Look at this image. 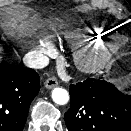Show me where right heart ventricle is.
I'll return each instance as SVG.
<instances>
[{"label": "right heart ventricle", "mask_w": 131, "mask_h": 131, "mask_svg": "<svg viewBox=\"0 0 131 131\" xmlns=\"http://www.w3.org/2000/svg\"><path fill=\"white\" fill-rule=\"evenodd\" d=\"M113 36L110 30L98 26L72 29L64 33V37L75 44L92 43Z\"/></svg>", "instance_id": "1"}]
</instances>
